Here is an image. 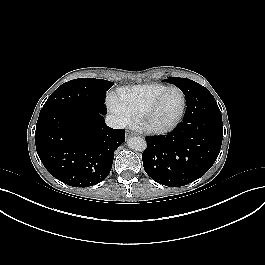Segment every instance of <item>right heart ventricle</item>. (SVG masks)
Returning <instances> with one entry per match:
<instances>
[{
    "label": "right heart ventricle",
    "instance_id": "obj_1",
    "mask_svg": "<svg viewBox=\"0 0 265 265\" xmlns=\"http://www.w3.org/2000/svg\"><path fill=\"white\" fill-rule=\"evenodd\" d=\"M166 87V85L158 83L137 85L120 88L116 95L131 120L140 122L149 104Z\"/></svg>",
    "mask_w": 265,
    "mask_h": 265
}]
</instances>
